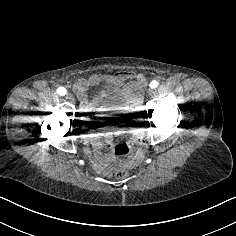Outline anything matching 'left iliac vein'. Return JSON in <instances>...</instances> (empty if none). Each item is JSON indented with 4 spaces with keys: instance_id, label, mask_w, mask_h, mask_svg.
<instances>
[{
    "instance_id": "4c4485c4",
    "label": "left iliac vein",
    "mask_w": 236,
    "mask_h": 236,
    "mask_svg": "<svg viewBox=\"0 0 236 236\" xmlns=\"http://www.w3.org/2000/svg\"><path fill=\"white\" fill-rule=\"evenodd\" d=\"M145 95L150 97V98H153V97H155L156 92L153 89H146L145 90Z\"/></svg>"
}]
</instances>
